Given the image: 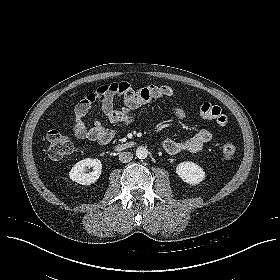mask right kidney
I'll return each mask as SVG.
<instances>
[{
	"label": "right kidney",
	"instance_id": "right-kidney-1",
	"mask_svg": "<svg viewBox=\"0 0 280 280\" xmlns=\"http://www.w3.org/2000/svg\"><path fill=\"white\" fill-rule=\"evenodd\" d=\"M93 168L92 172L86 173V168ZM102 164L97 159L86 158L77 162L69 172V177L72 181L81 185H90L95 183L101 174Z\"/></svg>",
	"mask_w": 280,
	"mask_h": 280
}]
</instances>
